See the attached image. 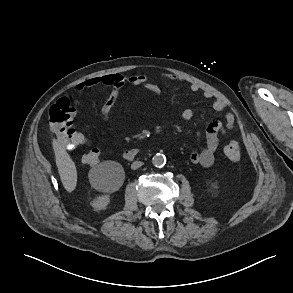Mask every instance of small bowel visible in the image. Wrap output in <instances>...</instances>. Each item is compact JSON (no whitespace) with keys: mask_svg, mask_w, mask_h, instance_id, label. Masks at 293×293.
Listing matches in <instances>:
<instances>
[{"mask_svg":"<svg viewBox=\"0 0 293 293\" xmlns=\"http://www.w3.org/2000/svg\"><path fill=\"white\" fill-rule=\"evenodd\" d=\"M166 80L178 81L179 78L171 74L161 75ZM143 86L153 94H158L160 88L154 83L148 81V77L144 74H136L127 78L119 74H107L102 76L90 77L83 82L79 83L76 87V91H81L84 88L107 86L111 87V92L100 102L98 106L99 113L104 121H108L111 115L112 108L118 97L120 90L126 85ZM190 89L193 92L202 91V95L206 99H214V94L209 90H202L201 87L193 83L190 85ZM212 108L221 112L225 108V104L220 99H215L212 103ZM193 118V110L190 108L184 109L182 112V119L189 122ZM235 124V117L232 113L228 112L225 115L224 122L213 121L211 122L205 132V146L200 151H194L190 155V160L194 164L201 165L203 167H209L214 163L215 154L219 143V134H225L231 130Z\"/></svg>","mask_w":293,"mask_h":293,"instance_id":"1","label":"small bowel"}]
</instances>
